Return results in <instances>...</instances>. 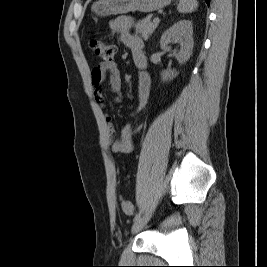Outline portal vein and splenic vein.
<instances>
[{
  "instance_id": "18ae733b",
  "label": "portal vein and splenic vein",
  "mask_w": 267,
  "mask_h": 267,
  "mask_svg": "<svg viewBox=\"0 0 267 267\" xmlns=\"http://www.w3.org/2000/svg\"><path fill=\"white\" fill-rule=\"evenodd\" d=\"M153 22H154V23H159V22H160L159 17H155V18L153 19Z\"/></svg>"
}]
</instances>
